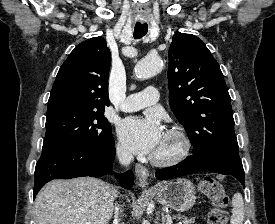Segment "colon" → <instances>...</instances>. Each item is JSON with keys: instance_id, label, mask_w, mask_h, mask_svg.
<instances>
[{"instance_id": "colon-1", "label": "colon", "mask_w": 275, "mask_h": 224, "mask_svg": "<svg viewBox=\"0 0 275 224\" xmlns=\"http://www.w3.org/2000/svg\"><path fill=\"white\" fill-rule=\"evenodd\" d=\"M199 192L212 200L214 208L208 215V224H227L226 207L229 197L222 184L211 177H205L198 184Z\"/></svg>"}]
</instances>
